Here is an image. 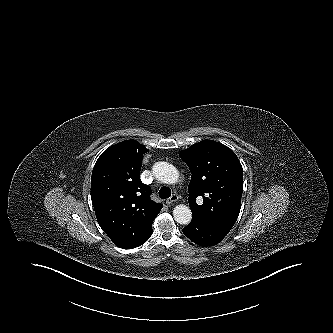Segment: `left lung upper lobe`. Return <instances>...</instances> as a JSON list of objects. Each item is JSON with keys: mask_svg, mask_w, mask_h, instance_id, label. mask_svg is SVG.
I'll list each match as a JSON object with an SVG mask.
<instances>
[{"mask_svg": "<svg viewBox=\"0 0 333 333\" xmlns=\"http://www.w3.org/2000/svg\"><path fill=\"white\" fill-rule=\"evenodd\" d=\"M192 176L188 202L193 217L230 231L241 208L243 169L227 146L205 140L180 152ZM200 197L203 203L196 202Z\"/></svg>", "mask_w": 333, "mask_h": 333, "instance_id": "left-lung-upper-lobe-1", "label": "left lung upper lobe"}]
</instances>
